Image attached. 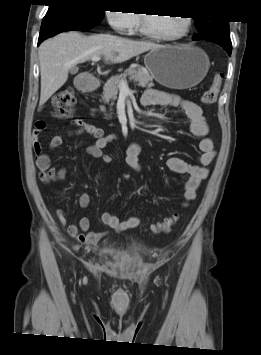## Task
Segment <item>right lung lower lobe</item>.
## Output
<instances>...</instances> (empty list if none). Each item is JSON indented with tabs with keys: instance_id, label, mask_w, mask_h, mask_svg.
Segmentation results:
<instances>
[{
	"instance_id": "obj_1",
	"label": "right lung lower lobe",
	"mask_w": 261,
	"mask_h": 355,
	"mask_svg": "<svg viewBox=\"0 0 261 355\" xmlns=\"http://www.w3.org/2000/svg\"><path fill=\"white\" fill-rule=\"evenodd\" d=\"M96 25V23H93L72 11L49 10L43 18L41 24L38 45L52 35L59 34L67 30L85 31Z\"/></svg>"
}]
</instances>
